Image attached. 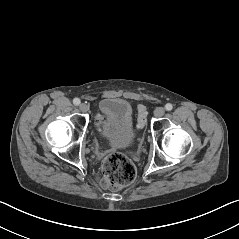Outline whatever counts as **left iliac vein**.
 Listing matches in <instances>:
<instances>
[{
	"label": "left iliac vein",
	"instance_id": "obj_1",
	"mask_svg": "<svg viewBox=\"0 0 239 239\" xmlns=\"http://www.w3.org/2000/svg\"><path fill=\"white\" fill-rule=\"evenodd\" d=\"M165 113V109L163 107H157L155 110H154V115L156 117H162Z\"/></svg>",
	"mask_w": 239,
	"mask_h": 239
}]
</instances>
